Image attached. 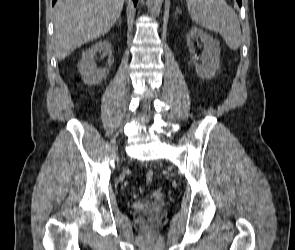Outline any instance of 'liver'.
<instances>
[{"label":"liver","mask_w":295,"mask_h":250,"mask_svg":"<svg viewBox=\"0 0 295 250\" xmlns=\"http://www.w3.org/2000/svg\"><path fill=\"white\" fill-rule=\"evenodd\" d=\"M124 0H58L54 7L56 56L65 59L76 48L110 31Z\"/></svg>","instance_id":"1"}]
</instances>
